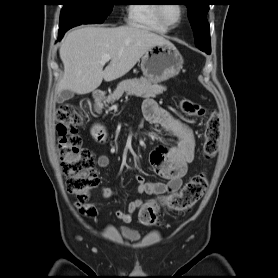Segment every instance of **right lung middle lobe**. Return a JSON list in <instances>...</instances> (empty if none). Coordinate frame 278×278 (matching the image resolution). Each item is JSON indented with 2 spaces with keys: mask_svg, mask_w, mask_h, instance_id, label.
Wrapping results in <instances>:
<instances>
[{
  "mask_svg": "<svg viewBox=\"0 0 278 278\" xmlns=\"http://www.w3.org/2000/svg\"><path fill=\"white\" fill-rule=\"evenodd\" d=\"M115 0H61L63 8L59 30L88 23H102L110 14Z\"/></svg>",
  "mask_w": 278,
  "mask_h": 278,
  "instance_id": "right-lung-middle-lobe-1",
  "label": "right lung middle lobe"
}]
</instances>
